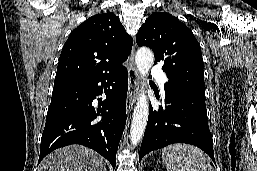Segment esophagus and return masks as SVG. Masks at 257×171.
Here are the masks:
<instances>
[{"label":"esophagus","mask_w":257,"mask_h":171,"mask_svg":"<svg viewBox=\"0 0 257 171\" xmlns=\"http://www.w3.org/2000/svg\"><path fill=\"white\" fill-rule=\"evenodd\" d=\"M134 55H135V47L133 46L131 55H130V62L131 65L128 68V94H127V100H126V112L130 113L133 104L136 101V97L138 94L139 89V75L138 71L136 69V66L134 64Z\"/></svg>","instance_id":"1"}]
</instances>
